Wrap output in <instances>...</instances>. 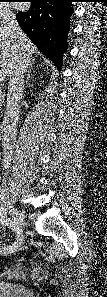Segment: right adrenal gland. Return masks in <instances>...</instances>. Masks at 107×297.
<instances>
[{"label": "right adrenal gland", "mask_w": 107, "mask_h": 297, "mask_svg": "<svg viewBox=\"0 0 107 297\" xmlns=\"http://www.w3.org/2000/svg\"><path fill=\"white\" fill-rule=\"evenodd\" d=\"M31 70H32V65H30L29 69H28V72H27V78H26V83H28L29 81V78L31 76Z\"/></svg>", "instance_id": "right-adrenal-gland-1"}]
</instances>
